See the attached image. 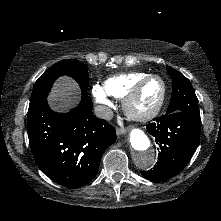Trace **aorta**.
<instances>
[{"label": "aorta", "instance_id": "aorta-1", "mask_svg": "<svg viewBox=\"0 0 221 221\" xmlns=\"http://www.w3.org/2000/svg\"><path fill=\"white\" fill-rule=\"evenodd\" d=\"M129 144L135 164L142 169L151 168L156 155L147 135L141 129L134 128L129 134Z\"/></svg>", "mask_w": 221, "mask_h": 221}]
</instances>
